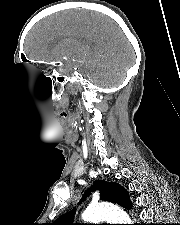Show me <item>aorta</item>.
<instances>
[{
    "instance_id": "762f6f07",
    "label": "aorta",
    "mask_w": 180,
    "mask_h": 225,
    "mask_svg": "<svg viewBox=\"0 0 180 225\" xmlns=\"http://www.w3.org/2000/svg\"><path fill=\"white\" fill-rule=\"evenodd\" d=\"M82 219L93 223L106 221L109 224H132L128 214L113 204L90 205L83 212Z\"/></svg>"
}]
</instances>
